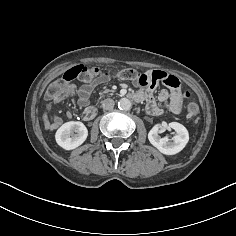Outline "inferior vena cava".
<instances>
[{"instance_id":"1","label":"inferior vena cava","mask_w":236,"mask_h":236,"mask_svg":"<svg viewBox=\"0 0 236 236\" xmlns=\"http://www.w3.org/2000/svg\"><path fill=\"white\" fill-rule=\"evenodd\" d=\"M114 105H115V102L111 98H107L102 101V108L104 110H111L114 107Z\"/></svg>"}]
</instances>
